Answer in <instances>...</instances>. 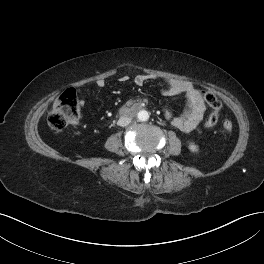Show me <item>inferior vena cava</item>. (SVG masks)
<instances>
[{
    "label": "inferior vena cava",
    "instance_id": "inferior-vena-cava-1",
    "mask_svg": "<svg viewBox=\"0 0 264 264\" xmlns=\"http://www.w3.org/2000/svg\"><path fill=\"white\" fill-rule=\"evenodd\" d=\"M130 122H131V118H129V117H120L118 122H117V124L119 126L124 127V126H127L128 124H130Z\"/></svg>",
    "mask_w": 264,
    "mask_h": 264
}]
</instances>
